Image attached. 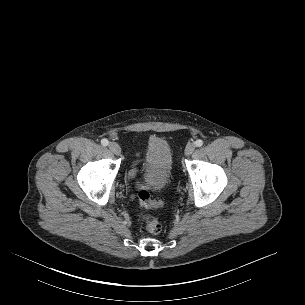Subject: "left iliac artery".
Returning a JSON list of instances; mask_svg holds the SVG:
<instances>
[{
    "label": "left iliac artery",
    "instance_id": "44dca946",
    "mask_svg": "<svg viewBox=\"0 0 305 305\" xmlns=\"http://www.w3.org/2000/svg\"><path fill=\"white\" fill-rule=\"evenodd\" d=\"M195 145L197 147H201L203 145V141L201 139L196 140Z\"/></svg>",
    "mask_w": 305,
    "mask_h": 305
}]
</instances>
